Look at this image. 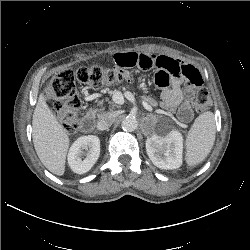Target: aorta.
<instances>
[{
	"mask_svg": "<svg viewBox=\"0 0 250 250\" xmlns=\"http://www.w3.org/2000/svg\"><path fill=\"white\" fill-rule=\"evenodd\" d=\"M121 126L124 131L132 132L137 129L138 121L135 117L128 116L122 121Z\"/></svg>",
	"mask_w": 250,
	"mask_h": 250,
	"instance_id": "762f6f07",
	"label": "aorta"
}]
</instances>
